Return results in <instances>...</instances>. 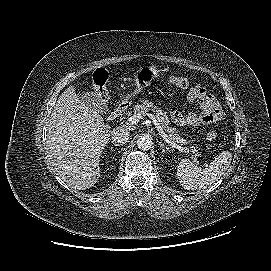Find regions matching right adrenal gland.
Returning a JSON list of instances; mask_svg holds the SVG:
<instances>
[{
	"instance_id": "1",
	"label": "right adrenal gland",
	"mask_w": 271,
	"mask_h": 271,
	"mask_svg": "<svg viewBox=\"0 0 271 271\" xmlns=\"http://www.w3.org/2000/svg\"><path fill=\"white\" fill-rule=\"evenodd\" d=\"M111 143H112L114 146H116V147L122 146V144H118V143H116V142H114V141H111Z\"/></svg>"
}]
</instances>
